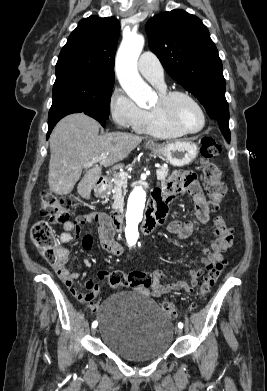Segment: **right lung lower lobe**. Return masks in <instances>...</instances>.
Masks as SVG:
<instances>
[{"instance_id":"right-lung-lower-lobe-1","label":"right lung lower lobe","mask_w":267,"mask_h":391,"mask_svg":"<svg viewBox=\"0 0 267 391\" xmlns=\"http://www.w3.org/2000/svg\"><path fill=\"white\" fill-rule=\"evenodd\" d=\"M78 112H84L85 114L93 117L94 119H96L98 122H100V124L102 126H105V122H106V119L104 117H102L101 115L95 113V112H91V111H82V110H79V109H68V110H65L63 112H60L58 113L57 115L53 116V117H50L48 118V133H47V139L52 131V129L54 128V126L56 125V123L62 119L64 116L68 115V114H71V113H78Z\"/></svg>"}]
</instances>
